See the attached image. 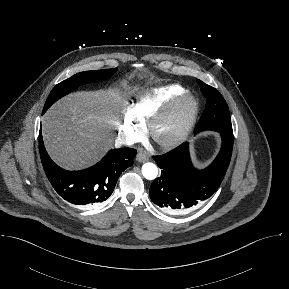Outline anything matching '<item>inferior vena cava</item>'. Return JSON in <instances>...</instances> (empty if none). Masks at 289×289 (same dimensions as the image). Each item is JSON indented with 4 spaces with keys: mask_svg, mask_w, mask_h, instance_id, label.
I'll return each instance as SVG.
<instances>
[{
    "mask_svg": "<svg viewBox=\"0 0 289 289\" xmlns=\"http://www.w3.org/2000/svg\"><path fill=\"white\" fill-rule=\"evenodd\" d=\"M135 143L134 139L125 135V134H121L117 137L116 140V145L120 146V145H133Z\"/></svg>",
    "mask_w": 289,
    "mask_h": 289,
    "instance_id": "1",
    "label": "inferior vena cava"
}]
</instances>
